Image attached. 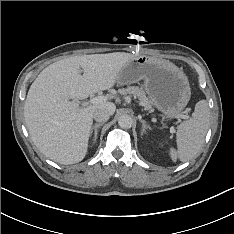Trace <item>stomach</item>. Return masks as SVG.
<instances>
[{
  "mask_svg": "<svg viewBox=\"0 0 234 234\" xmlns=\"http://www.w3.org/2000/svg\"><path fill=\"white\" fill-rule=\"evenodd\" d=\"M144 80L148 99L164 118L178 115L188 104L190 85L184 72L169 60L135 56L118 72L116 82L127 85Z\"/></svg>",
  "mask_w": 234,
  "mask_h": 234,
  "instance_id": "stomach-1",
  "label": "stomach"
}]
</instances>
